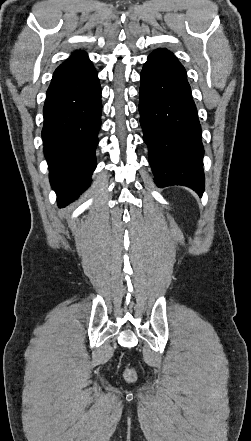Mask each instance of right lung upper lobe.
I'll return each mask as SVG.
<instances>
[{"label": "right lung upper lobe", "mask_w": 251, "mask_h": 441, "mask_svg": "<svg viewBox=\"0 0 251 441\" xmlns=\"http://www.w3.org/2000/svg\"><path fill=\"white\" fill-rule=\"evenodd\" d=\"M92 63L88 56L83 51L74 52L64 63H62L56 70H72L77 68H84L91 66Z\"/></svg>", "instance_id": "cb5924a9"}]
</instances>
